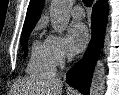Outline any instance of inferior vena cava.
I'll list each match as a JSON object with an SVG mask.
<instances>
[{
    "instance_id": "inferior-vena-cava-1",
    "label": "inferior vena cava",
    "mask_w": 119,
    "mask_h": 95,
    "mask_svg": "<svg viewBox=\"0 0 119 95\" xmlns=\"http://www.w3.org/2000/svg\"><path fill=\"white\" fill-rule=\"evenodd\" d=\"M68 59L71 60L72 59V56L68 55Z\"/></svg>"
}]
</instances>
